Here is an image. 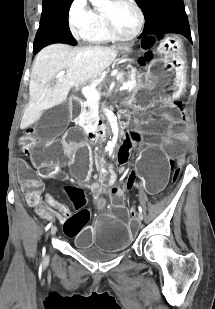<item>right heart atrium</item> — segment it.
<instances>
[{
	"instance_id": "right-heart-atrium-1",
	"label": "right heart atrium",
	"mask_w": 215,
	"mask_h": 309,
	"mask_svg": "<svg viewBox=\"0 0 215 309\" xmlns=\"http://www.w3.org/2000/svg\"><path fill=\"white\" fill-rule=\"evenodd\" d=\"M73 5L69 12V24L77 38H84L85 29L91 28L96 15L91 14L89 9L80 8L86 7V0H73Z\"/></svg>"
}]
</instances>
